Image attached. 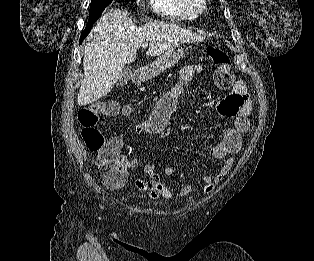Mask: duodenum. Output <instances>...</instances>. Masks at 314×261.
Masks as SVG:
<instances>
[{"label":"duodenum","instance_id":"duodenum-1","mask_svg":"<svg viewBox=\"0 0 314 261\" xmlns=\"http://www.w3.org/2000/svg\"><path fill=\"white\" fill-rule=\"evenodd\" d=\"M145 79V72L144 71H138L135 73L133 81L135 83H141Z\"/></svg>","mask_w":314,"mask_h":261}]
</instances>
